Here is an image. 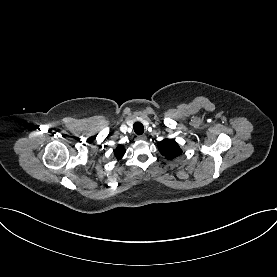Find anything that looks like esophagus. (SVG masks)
Instances as JSON below:
<instances>
[{"instance_id": "1", "label": "esophagus", "mask_w": 277, "mask_h": 277, "mask_svg": "<svg viewBox=\"0 0 277 277\" xmlns=\"http://www.w3.org/2000/svg\"><path fill=\"white\" fill-rule=\"evenodd\" d=\"M137 139L140 141H145L147 139L146 135H139L137 136Z\"/></svg>"}]
</instances>
